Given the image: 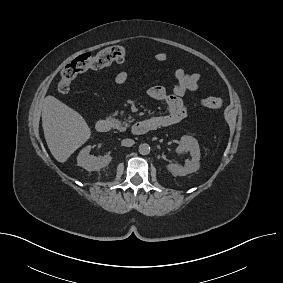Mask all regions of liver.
<instances>
[{"label": "liver", "instance_id": "obj_1", "mask_svg": "<svg viewBox=\"0 0 283 283\" xmlns=\"http://www.w3.org/2000/svg\"><path fill=\"white\" fill-rule=\"evenodd\" d=\"M42 126L48 148L61 163L91 136L84 118L54 96H46L42 108Z\"/></svg>", "mask_w": 283, "mask_h": 283}]
</instances>
